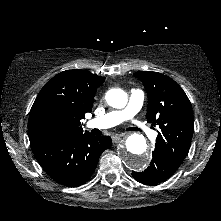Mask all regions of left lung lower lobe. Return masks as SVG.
Wrapping results in <instances>:
<instances>
[{"label":"left lung lower lobe","instance_id":"obj_1","mask_svg":"<svg viewBox=\"0 0 221 221\" xmlns=\"http://www.w3.org/2000/svg\"><path fill=\"white\" fill-rule=\"evenodd\" d=\"M178 168L160 150L155 148L150 166L144 172H132V176L143 184H157L172 176Z\"/></svg>","mask_w":221,"mask_h":221}]
</instances>
